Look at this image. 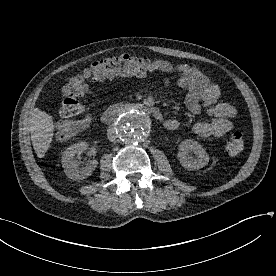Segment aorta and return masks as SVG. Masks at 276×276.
Segmentation results:
<instances>
[{
	"label": "aorta",
	"mask_w": 276,
	"mask_h": 276,
	"mask_svg": "<svg viewBox=\"0 0 276 276\" xmlns=\"http://www.w3.org/2000/svg\"><path fill=\"white\" fill-rule=\"evenodd\" d=\"M117 129L120 138L126 143L143 141L149 131L147 114L138 108H129L119 117Z\"/></svg>",
	"instance_id": "1"
}]
</instances>
